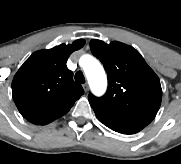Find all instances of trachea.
Segmentation results:
<instances>
[{
	"label": "trachea",
	"mask_w": 181,
	"mask_h": 164,
	"mask_svg": "<svg viewBox=\"0 0 181 164\" xmlns=\"http://www.w3.org/2000/svg\"><path fill=\"white\" fill-rule=\"evenodd\" d=\"M75 80L79 83H85V78H84V75L81 71H78L76 74H75Z\"/></svg>",
	"instance_id": "obj_1"
}]
</instances>
